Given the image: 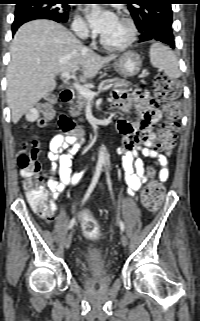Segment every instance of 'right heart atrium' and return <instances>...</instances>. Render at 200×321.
<instances>
[{"mask_svg":"<svg viewBox=\"0 0 200 321\" xmlns=\"http://www.w3.org/2000/svg\"><path fill=\"white\" fill-rule=\"evenodd\" d=\"M72 30L78 37L83 39L89 37L90 35L87 24L79 15H76L72 22Z\"/></svg>","mask_w":200,"mask_h":321,"instance_id":"obj_1","label":"right heart atrium"}]
</instances>
